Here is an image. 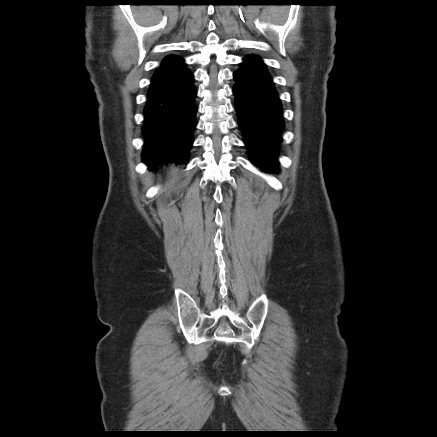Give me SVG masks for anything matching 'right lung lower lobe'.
<instances>
[{"label":"right lung lower lobe","instance_id":"right-lung-lower-lobe-1","mask_svg":"<svg viewBox=\"0 0 437 437\" xmlns=\"http://www.w3.org/2000/svg\"><path fill=\"white\" fill-rule=\"evenodd\" d=\"M196 94L193 73L183 58L162 62L152 77L144 108L142 155L149 166L188 161L197 125Z\"/></svg>","mask_w":437,"mask_h":437}]
</instances>
